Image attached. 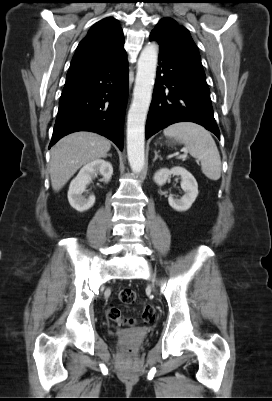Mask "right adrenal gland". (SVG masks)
<instances>
[{
	"instance_id": "2a0ac1e0",
	"label": "right adrenal gland",
	"mask_w": 272,
	"mask_h": 401,
	"mask_svg": "<svg viewBox=\"0 0 272 401\" xmlns=\"http://www.w3.org/2000/svg\"><path fill=\"white\" fill-rule=\"evenodd\" d=\"M107 156L112 157V154H108Z\"/></svg>"
}]
</instances>
